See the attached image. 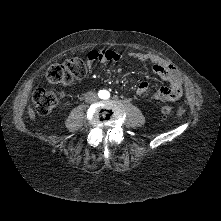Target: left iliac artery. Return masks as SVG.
Instances as JSON below:
<instances>
[{"instance_id":"left-iliac-artery-1","label":"left iliac artery","mask_w":221,"mask_h":221,"mask_svg":"<svg viewBox=\"0 0 221 221\" xmlns=\"http://www.w3.org/2000/svg\"><path fill=\"white\" fill-rule=\"evenodd\" d=\"M110 94H107V98H109Z\"/></svg>"}]
</instances>
